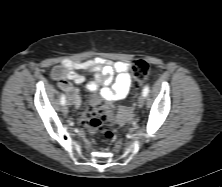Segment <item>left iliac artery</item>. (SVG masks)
<instances>
[{
	"mask_svg": "<svg viewBox=\"0 0 222 187\" xmlns=\"http://www.w3.org/2000/svg\"><path fill=\"white\" fill-rule=\"evenodd\" d=\"M148 93H149V86H145L144 89H143V95L147 96Z\"/></svg>",
	"mask_w": 222,
	"mask_h": 187,
	"instance_id": "obj_1",
	"label": "left iliac artery"
}]
</instances>
